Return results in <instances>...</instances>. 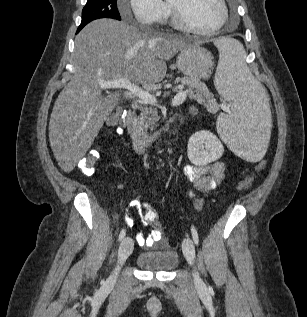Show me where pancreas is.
I'll return each mask as SVG.
<instances>
[{
	"mask_svg": "<svg viewBox=\"0 0 307 317\" xmlns=\"http://www.w3.org/2000/svg\"><path fill=\"white\" fill-rule=\"evenodd\" d=\"M182 85L187 86V95L190 99H195L199 103H202L207 110L214 112L218 110V105L214 99L210 98V94L207 91L203 83L199 79L183 77L179 79ZM205 98H209L205 100ZM159 120L157 115V110L152 107H143L141 108V113L139 116L135 117L132 120L134 126L146 133L149 126H152L153 129L155 122Z\"/></svg>",
	"mask_w": 307,
	"mask_h": 317,
	"instance_id": "cf45deb5",
	"label": "pancreas"
}]
</instances>
